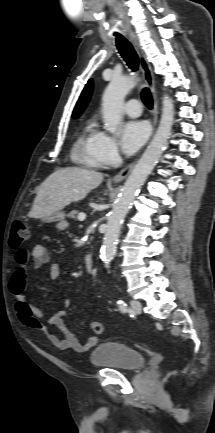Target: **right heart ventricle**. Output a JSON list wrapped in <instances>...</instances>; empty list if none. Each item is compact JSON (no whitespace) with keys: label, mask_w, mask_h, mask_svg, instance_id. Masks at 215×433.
<instances>
[{"label":"right heart ventricle","mask_w":215,"mask_h":433,"mask_svg":"<svg viewBox=\"0 0 215 433\" xmlns=\"http://www.w3.org/2000/svg\"><path fill=\"white\" fill-rule=\"evenodd\" d=\"M100 136L101 131L93 122L86 124L74 145L73 159L88 167H102L103 162L98 153Z\"/></svg>","instance_id":"1"}]
</instances>
